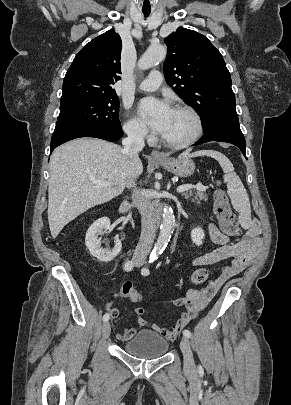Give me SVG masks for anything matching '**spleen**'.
Here are the masks:
<instances>
[{
  "label": "spleen",
  "mask_w": 291,
  "mask_h": 405,
  "mask_svg": "<svg viewBox=\"0 0 291 405\" xmlns=\"http://www.w3.org/2000/svg\"><path fill=\"white\" fill-rule=\"evenodd\" d=\"M195 156H210L219 162L224 172L223 179L227 184V193L234 209L239 212V217L242 222L250 220L251 207L249 197L241 179L234 171L231 161L224 154L215 150H202L194 153H190V151L187 150L180 155L182 158Z\"/></svg>",
  "instance_id": "spleen-1"
}]
</instances>
